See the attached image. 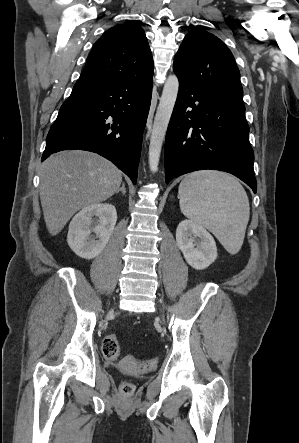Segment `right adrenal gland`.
<instances>
[{
    "instance_id": "2a0ac1e0",
    "label": "right adrenal gland",
    "mask_w": 299,
    "mask_h": 443,
    "mask_svg": "<svg viewBox=\"0 0 299 443\" xmlns=\"http://www.w3.org/2000/svg\"><path fill=\"white\" fill-rule=\"evenodd\" d=\"M120 191L123 195L126 194L125 183H122V187L116 191V194H118Z\"/></svg>"
}]
</instances>
